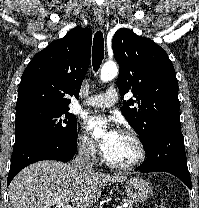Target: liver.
<instances>
[{
    "instance_id": "obj_1",
    "label": "liver",
    "mask_w": 199,
    "mask_h": 208,
    "mask_svg": "<svg viewBox=\"0 0 199 208\" xmlns=\"http://www.w3.org/2000/svg\"><path fill=\"white\" fill-rule=\"evenodd\" d=\"M125 180L120 174L84 172L59 161H40L24 168L12 180L8 208H54L58 203L87 208L99 200L100 188L107 182Z\"/></svg>"
}]
</instances>
